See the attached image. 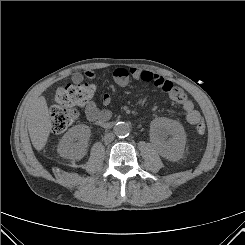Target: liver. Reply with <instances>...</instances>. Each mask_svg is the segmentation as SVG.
Here are the masks:
<instances>
[{
	"instance_id": "obj_1",
	"label": "liver",
	"mask_w": 245,
	"mask_h": 245,
	"mask_svg": "<svg viewBox=\"0 0 245 245\" xmlns=\"http://www.w3.org/2000/svg\"><path fill=\"white\" fill-rule=\"evenodd\" d=\"M52 122L45 97L36 99L28 113V130L31 142L37 151L42 150L48 140Z\"/></svg>"
}]
</instances>
